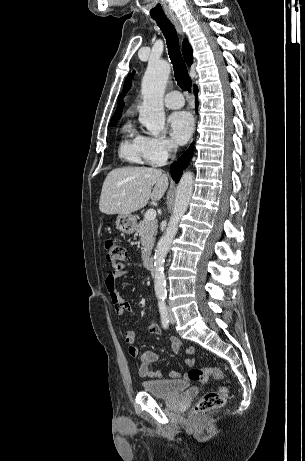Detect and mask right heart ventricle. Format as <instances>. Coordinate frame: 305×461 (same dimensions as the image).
I'll return each instance as SVG.
<instances>
[{
	"label": "right heart ventricle",
	"instance_id": "1",
	"mask_svg": "<svg viewBox=\"0 0 305 461\" xmlns=\"http://www.w3.org/2000/svg\"><path fill=\"white\" fill-rule=\"evenodd\" d=\"M122 140L119 146V155L131 164L149 163L145 151L144 139L131 123H126L122 128Z\"/></svg>",
	"mask_w": 305,
	"mask_h": 461
}]
</instances>
